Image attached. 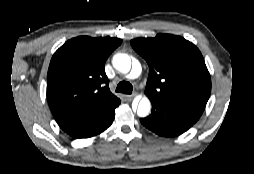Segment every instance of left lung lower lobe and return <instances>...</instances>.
<instances>
[{
    "label": "left lung lower lobe",
    "instance_id": "1",
    "mask_svg": "<svg viewBox=\"0 0 254 174\" xmlns=\"http://www.w3.org/2000/svg\"><path fill=\"white\" fill-rule=\"evenodd\" d=\"M152 112L140 119L149 130L164 137H174L187 131L201 115L183 108H176L168 104L151 100Z\"/></svg>",
    "mask_w": 254,
    "mask_h": 174
}]
</instances>
